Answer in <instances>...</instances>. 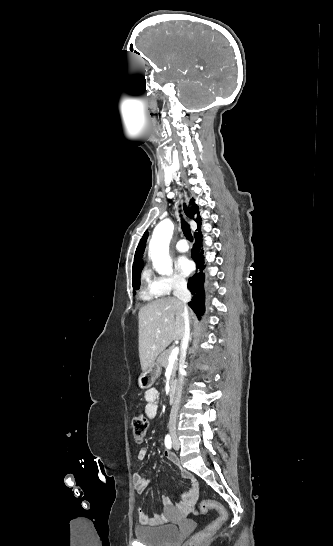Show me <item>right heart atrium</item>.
Here are the masks:
<instances>
[{"label": "right heart atrium", "mask_w": 333, "mask_h": 546, "mask_svg": "<svg viewBox=\"0 0 333 546\" xmlns=\"http://www.w3.org/2000/svg\"><path fill=\"white\" fill-rule=\"evenodd\" d=\"M154 292L158 296H167L186 287L185 279L178 274L155 277L152 281Z\"/></svg>", "instance_id": "obj_1"}]
</instances>
